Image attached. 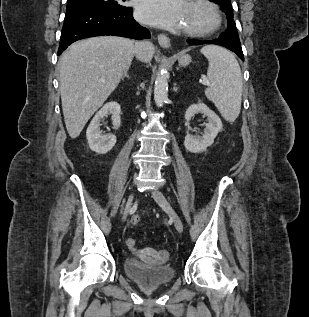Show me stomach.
Listing matches in <instances>:
<instances>
[{"label": "stomach", "mask_w": 309, "mask_h": 317, "mask_svg": "<svg viewBox=\"0 0 309 317\" xmlns=\"http://www.w3.org/2000/svg\"><path fill=\"white\" fill-rule=\"evenodd\" d=\"M179 64L182 66H186L191 62V57L187 54H181L178 57Z\"/></svg>", "instance_id": "obj_1"}]
</instances>
